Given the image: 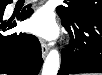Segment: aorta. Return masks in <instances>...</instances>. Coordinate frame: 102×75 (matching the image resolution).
Wrapping results in <instances>:
<instances>
[{"instance_id": "1", "label": "aorta", "mask_w": 102, "mask_h": 75, "mask_svg": "<svg viewBox=\"0 0 102 75\" xmlns=\"http://www.w3.org/2000/svg\"><path fill=\"white\" fill-rule=\"evenodd\" d=\"M60 65V55L56 49L49 52L43 65L42 75H57Z\"/></svg>"}]
</instances>
